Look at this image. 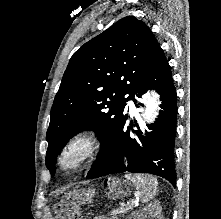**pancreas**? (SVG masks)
<instances>
[{"instance_id": "cf45deb5", "label": "pancreas", "mask_w": 221, "mask_h": 219, "mask_svg": "<svg viewBox=\"0 0 221 219\" xmlns=\"http://www.w3.org/2000/svg\"><path fill=\"white\" fill-rule=\"evenodd\" d=\"M130 209V206H120L119 208L113 209L109 212L110 218L107 219H118L119 216L125 214Z\"/></svg>"}]
</instances>
